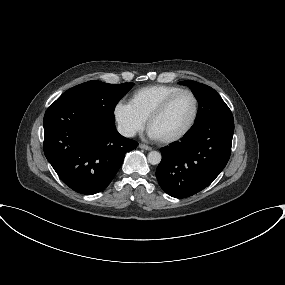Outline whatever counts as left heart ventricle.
<instances>
[{
  "label": "left heart ventricle",
  "instance_id": "obj_1",
  "mask_svg": "<svg viewBox=\"0 0 285 285\" xmlns=\"http://www.w3.org/2000/svg\"><path fill=\"white\" fill-rule=\"evenodd\" d=\"M194 112V100L189 94L179 95L166 112L150 126L149 132L156 139H163L180 133L189 124Z\"/></svg>",
  "mask_w": 285,
  "mask_h": 285
}]
</instances>
